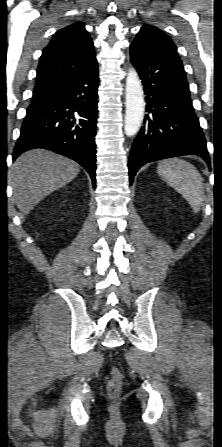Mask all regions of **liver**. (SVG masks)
I'll use <instances>...</instances> for the list:
<instances>
[{
    "instance_id": "6515ba94",
    "label": "liver",
    "mask_w": 222,
    "mask_h": 447,
    "mask_svg": "<svg viewBox=\"0 0 222 447\" xmlns=\"http://www.w3.org/2000/svg\"><path fill=\"white\" fill-rule=\"evenodd\" d=\"M75 161L43 149L23 153L11 169V185L18 209L29 214L52 192L70 183L79 173Z\"/></svg>"
}]
</instances>
